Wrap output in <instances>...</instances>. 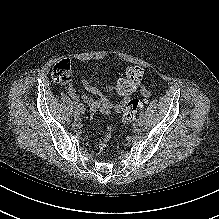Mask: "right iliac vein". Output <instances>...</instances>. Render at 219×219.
Returning <instances> with one entry per match:
<instances>
[{"mask_svg": "<svg viewBox=\"0 0 219 219\" xmlns=\"http://www.w3.org/2000/svg\"><path fill=\"white\" fill-rule=\"evenodd\" d=\"M81 111H83V110H81L79 108L75 109V111L73 113L75 119H79L80 118Z\"/></svg>", "mask_w": 219, "mask_h": 219, "instance_id": "63e3f726", "label": "right iliac vein"}]
</instances>
